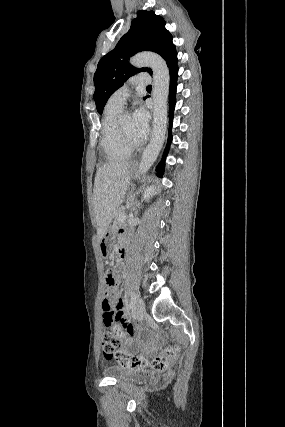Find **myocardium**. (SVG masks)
Here are the masks:
<instances>
[{"label": "myocardium", "mask_w": 285, "mask_h": 427, "mask_svg": "<svg viewBox=\"0 0 285 427\" xmlns=\"http://www.w3.org/2000/svg\"><path fill=\"white\" fill-rule=\"evenodd\" d=\"M125 114H120L117 118V131L119 133V136L122 140V142L124 143L125 146L134 149L136 147H138L140 145L139 141H132L127 134L125 133L124 129H123V125H122V118Z\"/></svg>", "instance_id": "obj_1"}]
</instances>
